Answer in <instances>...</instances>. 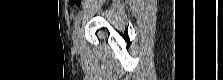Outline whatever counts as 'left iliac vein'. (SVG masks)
<instances>
[{
    "instance_id": "4c4485c4",
    "label": "left iliac vein",
    "mask_w": 223,
    "mask_h": 80,
    "mask_svg": "<svg viewBox=\"0 0 223 80\" xmlns=\"http://www.w3.org/2000/svg\"><path fill=\"white\" fill-rule=\"evenodd\" d=\"M72 38H73L74 48H79L80 41H81V30H80V26L79 25L73 31Z\"/></svg>"
}]
</instances>
